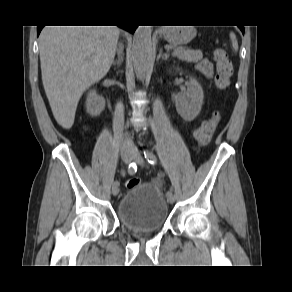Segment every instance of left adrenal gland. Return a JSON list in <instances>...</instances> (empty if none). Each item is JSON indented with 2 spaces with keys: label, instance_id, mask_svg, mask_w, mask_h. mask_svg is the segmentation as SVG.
<instances>
[{
  "label": "left adrenal gland",
  "instance_id": "obj_1",
  "mask_svg": "<svg viewBox=\"0 0 292 292\" xmlns=\"http://www.w3.org/2000/svg\"><path fill=\"white\" fill-rule=\"evenodd\" d=\"M160 58L167 60L168 59V55L167 54H163L162 48L159 51V54L157 56V60H159Z\"/></svg>",
  "mask_w": 292,
  "mask_h": 292
}]
</instances>
